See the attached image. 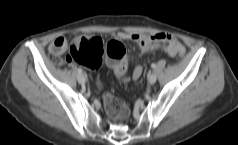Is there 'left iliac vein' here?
<instances>
[{
	"instance_id": "4c4485c4",
	"label": "left iliac vein",
	"mask_w": 238,
	"mask_h": 145,
	"mask_svg": "<svg viewBox=\"0 0 238 145\" xmlns=\"http://www.w3.org/2000/svg\"><path fill=\"white\" fill-rule=\"evenodd\" d=\"M157 81V76L155 74H151L149 77H148V83L150 85H153L155 82Z\"/></svg>"
}]
</instances>
